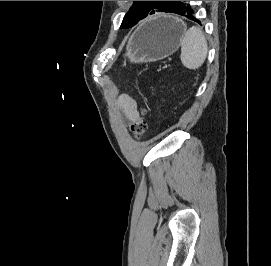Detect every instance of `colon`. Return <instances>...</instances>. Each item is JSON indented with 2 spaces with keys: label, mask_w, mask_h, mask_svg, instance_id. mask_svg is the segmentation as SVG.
Listing matches in <instances>:
<instances>
[{
  "label": "colon",
  "mask_w": 271,
  "mask_h": 266,
  "mask_svg": "<svg viewBox=\"0 0 271 266\" xmlns=\"http://www.w3.org/2000/svg\"><path fill=\"white\" fill-rule=\"evenodd\" d=\"M141 113H142V116H139L130 124V131L136 138L142 137L148 129V124L144 117L145 110L142 109Z\"/></svg>",
  "instance_id": "obj_1"
}]
</instances>
